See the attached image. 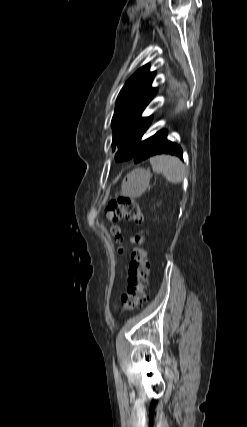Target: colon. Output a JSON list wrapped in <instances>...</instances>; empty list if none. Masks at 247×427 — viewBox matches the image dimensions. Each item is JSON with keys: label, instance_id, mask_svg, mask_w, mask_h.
<instances>
[{"label": "colon", "instance_id": "5ec220e1", "mask_svg": "<svg viewBox=\"0 0 247 427\" xmlns=\"http://www.w3.org/2000/svg\"><path fill=\"white\" fill-rule=\"evenodd\" d=\"M105 217L109 224V231L118 243L122 241L120 221L144 222V214L140 207L129 197H119L112 200L105 209ZM137 241L139 248L131 254L127 291L121 296L118 304L121 310L126 311L141 308L147 300L146 287L149 276V263L144 248L146 236L143 231L138 235Z\"/></svg>", "mask_w": 247, "mask_h": 427}]
</instances>
